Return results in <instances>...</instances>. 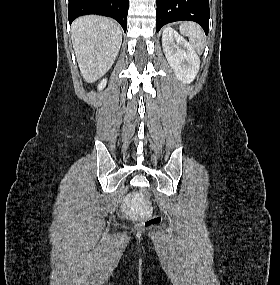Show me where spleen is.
Masks as SVG:
<instances>
[{"mask_svg":"<svg viewBox=\"0 0 280 285\" xmlns=\"http://www.w3.org/2000/svg\"><path fill=\"white\" fill-rule=\"evenodd\" d=\"M179 29L182 35L188 37L192 47L201 54L205 45V35L202 28L196 23L184 22Z\"/></svg>","mask_w":280,"mask_h":285,"instance_id":"obj_1","label":"spleen"}]
</instances>
